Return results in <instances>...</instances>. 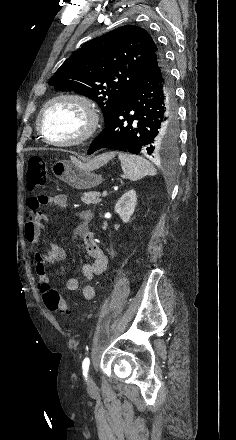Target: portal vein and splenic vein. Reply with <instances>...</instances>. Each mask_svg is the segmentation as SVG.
I'll return each instance as SVG.
<instances>
[{"label": "portal vein and splenic vein", "instance_id": "obj_1", "mask_svg": "<svg viewBox=\"0 0 236 440\" xmlns=\"http://www.w3.org/2000/svg\"><path fill=\"white\" fill-rule=\"evenodd\" d=\"M102 196L106 197L107 196V191H103Z\"/></svg>", "mask_w": 236, "mask_h": 440}]
</instances>
